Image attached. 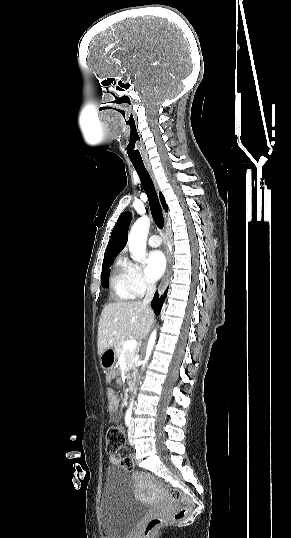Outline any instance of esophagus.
Returning a JSON list of instances; mask_svg holds the SVG:
<instances>
[{
  "mask_svg": "<svg viewBox=\"0 0 291 538\" xmlns=\"http://www.w3.org/2000/svg\"><path fill=\"white\" fill-rule=\"evenodd\" d=\"M146 168L151 176V179L155 185V187L157 188V182H156V178L154 176V173L151 169V166L148 164L146 165ZM164 218H165V221H167V216L164 214ZM166 258H167V267H166V271H165V275L162 279V282L160 284V291L165 287L166 283H167V280H168V277H169V272H170V266H171V254H170V251L169 249H167L166 251Z\"/></svg>",
  "mask_w": 291,
  "mask_h": 538,
  "instance_id": "esophagus-1",
  "label": "esophagus"
}]
</instances>
